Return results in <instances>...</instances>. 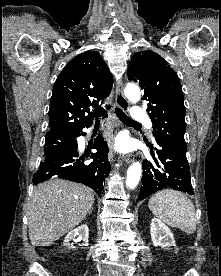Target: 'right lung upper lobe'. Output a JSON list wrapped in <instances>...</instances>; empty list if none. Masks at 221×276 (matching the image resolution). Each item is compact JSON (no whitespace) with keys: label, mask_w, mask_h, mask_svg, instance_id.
<instances>
[{"label":"right lung upper lobe","mask_w":221,"mask_h":276,"mask_svg":"<svg viewBox=\"0 0 221 276\" xmlns=\"http://www.w3.org/2000/svg\"><path fill=\"white\" fill-rule=\"evenodd\" d=\"M112 84V74L98 52L74 57L54 83L46 135H76L90 126L94 117L105 113L98 102L110 95Z\"/></svg>","instance_id":"obj_1"}]
</instances>
